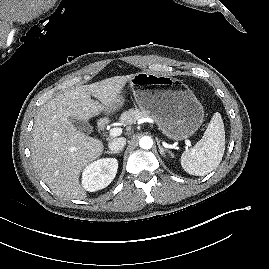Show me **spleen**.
Masks as SVG:
<instances>
[{
  "label": "spleen",
  "instance_id": "spleen-1",
  "mask_svg": "<svg viewBox=\"0 0 269 269\" xmlns=\"http://www.w3.org/2000/svg\"><path fill=\"white\" fill-rule=\"evenodd\" d=\"M225 151V131L221 114L216 112L200 141L181 156V165L190 175L204 176L213 171Z\"/></svg>",
  "mask_w": 269,
  "mask_h": 269
}]
</instances>
